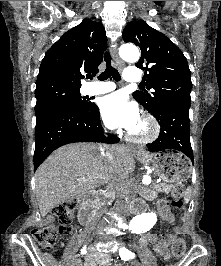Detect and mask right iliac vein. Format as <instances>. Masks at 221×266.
I'll return each mask as SVG.
<instances>
[{"instance_id": "63e3f726", "label": "right iliac vein", "mask_w": 221, "mask_h": 266, "mask_svg": "<svg viewBox=\"0 0 221 266\" xmlns=\"http://www.w3.org/2000/svg\"><path fill=\"white\" fill-rule=\"evenodd\" d=\"M79 265H80V260L77 258H74V259H72L69 266H79Z\"/></svg>"}]
</instances>
